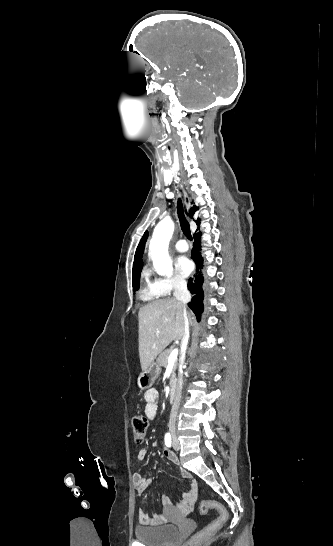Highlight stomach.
<instances>
[{"instance_id":"stomach-1","label":"stomach","mask_w":333,"mask_h":546,"mask_svg":"<svg viewBox=\"0 0 333 546\" xmlns=\"http://www.w3.org/2000/svg\"><path fill=\"white\" fill-rule=\"evenodd\" d=\"M161 373L160 364L155 361L138 377V386L141 389L150 388Z\"/></svg>"}]
</instances>
